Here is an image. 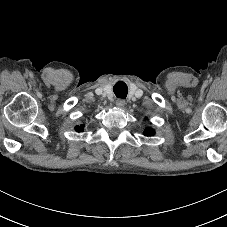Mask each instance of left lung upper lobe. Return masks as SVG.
I'll use <instances>...</instances> for the list:
<instances>
[{
	"mask_svg": "<svg viewBox=\"0 0 227 227\" xmlns=\"http://www.w3.org/2000/svg\"><path fill=\"white\" fill-rule=\"evenodd\" d=\"M144 134L146 136H152V135L155 134V131L153 129H151V128H148L147 130L144 131Z\"/></svg>",
	"mask_w": 227,
	"mask_h": 227,
	"instance_id": "5c2ea615",
	"label": "left lung upper lobe"
}]
</instances>
